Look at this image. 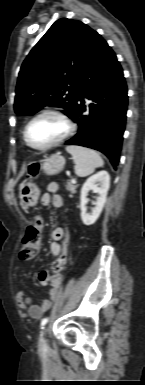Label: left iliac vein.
<instances>
[{
	"mask_svg": "<svg viewBox=\"0 0 145 385\" xmlns=\"http://www.w3.org/2000/svg\"><path fill=\"white\" fill-rule=\"evenodd\" d=\"M42 334H43V337H42V344L44 345V344H45V341H46V340H45L46 328L43 329Z\"/></svg>",
	"mask_w": 145,
	"mask_h": 385,
	"instance_id": "left-iliac-vein-1",
	"label": "left iliac vein"
}]
</instances>
